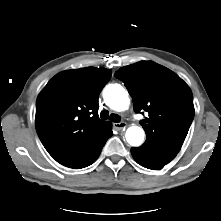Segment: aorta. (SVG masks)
<instances>
[{"label": "aorta", "mask_w": 221, "mask_h": 221, "mask_svg": "<svg viewBox=\"0 0 221 221\" xmlns=\"http://www.w3.org/2000/svg\"><path fill=\"white\" fill-rule=\"evenodd\" d=\"M104 101L111 109L121 112L128 109L130 99L128 92L120 84H109L105 87ZM144 130L138 126L129 127L126 140L132 146H140L144 141Z\"/></svg>", "instance_id": "aorta-1"}]
</instances>
